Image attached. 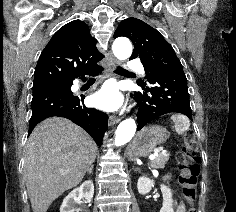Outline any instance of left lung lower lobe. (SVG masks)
I'll return each mask as SVG.
<instances>
[{
	"mask_svg": "<svg viewBox=\"0 0 236 212\" xmlns=\"http://www.w3.org/2000/svg\"><path fill=\"white\" fill-rule=\"evenodd\" d=\"M143 92H135L138 113L137 130L166 113L178 112L192 120L187 79L182 66L175 65L160 71L151 70Z\"/></svg>",
	"mask_w": 236,
	"mask_h": 212,
	"instance_id": "0a47b994",
	"label": "left lung lower lobe"
}]
</instances>
